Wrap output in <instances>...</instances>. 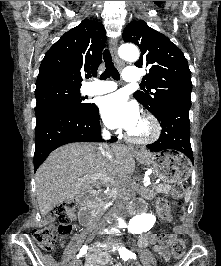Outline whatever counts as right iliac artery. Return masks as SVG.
Returning a JSON list of instances; mask_svg holds the SVG:
<instances>
[{
	"label": "right iliac artery",
	"instance_id": "1",
	"mask_svg": "<svg viewBox=\"0 0 221 266\" xmlns=\"http://www.w3.org/2000/svg\"><path fill=\"white\" fill-rule=\"evenodd\" d=\"M87 249H88V246H87V245H84V246L80 249V252H79V254L77 255V258H80L82 255L86 254V253H87Z\"/></svg>",
	"mask_w": 221,
	"mask_h": 266
}]
</instances>
